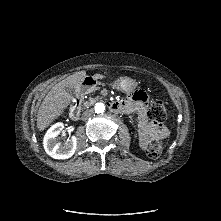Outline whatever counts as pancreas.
I'll list each match as a JSON object with an SVG mask.
<instances>
[{
    "label": "pancreas",
    "mask_w": 221,
    "mask_h": 221,
    "mask_svg": "<svg viewBox=\"0 0 221 221\" xmlns=\"http://www.w3.org/2000/svg\"><path fill=\"white\" fill-rule=\"evenodd\" d=\"M96 102V99L94 97H91L88 101L84 102V107L86 109H89L91 105H93Z\"/></svg>",
    "instance_id": "pancreas-1"
}]
</instances>
